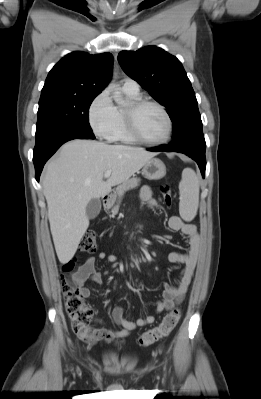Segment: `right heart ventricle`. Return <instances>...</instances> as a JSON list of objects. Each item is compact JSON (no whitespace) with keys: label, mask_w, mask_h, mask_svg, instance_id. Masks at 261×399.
<instances>
[{"label":"right heart ventricle","mask_w":261,"mask_h":399,"mask_svg":"<svg viewBox=\"0 0 261 399\" xmlns=\"http://www.w3.org/2000/svg\"><path fill=\"white\" fill-rule=\"evenodd\" d=\"M130 100H135L140 98V94L138 93H131L124 91ZM117 112V123L116 127L112 136L113 140L121 141L125 143L134 142V140L128 135L125 122H124V109L123 108H116Z\"/></svg>","instance_id":"right-heart-ventricle-1"}]
</instances>
